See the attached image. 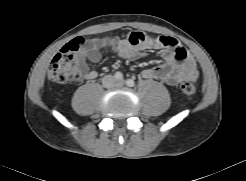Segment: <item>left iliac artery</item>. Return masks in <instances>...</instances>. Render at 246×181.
I'll use <instances>...</instances> for the list:
<instances>
[{"label":"left iliac artery","instance_id":"left-iliac-artery-1","mask_svg":"<svg viewBox=\"0 0 246 181\" xmlns=\"http://www.w3.org/2000/svg\"><path fill=\"white\" fill-rule=\"evenodd\" d=\"M126 84H127V86H129V87H133V86L135 85V82H134L132 79H128V80L126 81Z\"/></svg>","mask_w":246,"mask_h":181}]
</instances>
